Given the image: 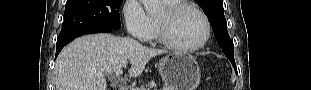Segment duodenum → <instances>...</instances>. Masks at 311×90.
Returning <instances> with one entry per match:
<instances>
[{
  "label": "duodenum",
  "instance_id": "obj_1",
  "mask_svg": "<svg viewBox=\"0 0 311 90\" xmlns=\"http://www.w3.org/2000/svg\"><path fill=\"white\" fill-rule=\"evenodd\" d=\"M116 89L117 90H128V88L125 86H120V87H117Z\"/></svg>",
  "mask_w": 311,
  "mask_h": 90
}]
</instances>
